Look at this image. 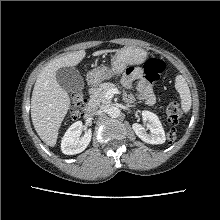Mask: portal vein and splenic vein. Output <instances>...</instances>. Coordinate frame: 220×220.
<instances>
[{
  "label": "portal vein and splenic vein",
  "mask_w": 220,
  "mask_h": 220,
  "mask_svg": "<svg viewBox=\"0 0 220 220\" xmlns=\"http://www.w3.org/2000/svg\"><path fill=\"white\" fill-rule=\"evenodd\" d=\"M119 91H118V89H116V88H114V89H111V90H108L106 93H105V97L107 98V99H111L113 96H114V94H117Z\"/></svg>",
  "instance_id": "portal-vein-and-splenic-vein-1"
}]
</instances>
